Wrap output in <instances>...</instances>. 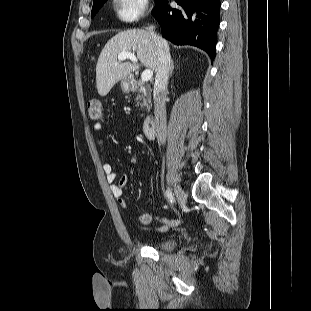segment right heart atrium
<instances>
[{"mask_svg":"<svg viewBox=\"0 0 311 311\" xmlns=\"http://www.w3.org/2000/svg\"><path fill=\"white\" fill-rule=\"evenodd\" d=\"M117 18L125 23H134L147 11L148 0H113Z\"/></svg>","mask_w":311,"mask_h":311,"instance_id":"1","label":"right heart atrium"}]
</instances>
